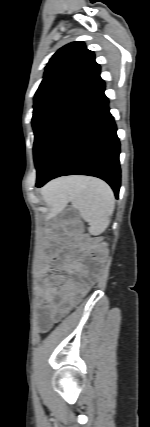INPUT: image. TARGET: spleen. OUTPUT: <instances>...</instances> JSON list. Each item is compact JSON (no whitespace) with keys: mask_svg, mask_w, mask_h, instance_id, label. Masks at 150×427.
I'll return each instance as SVG.
<instances>
[{"mask_svg":"<svg viewBox=\"0 0 150 427\" xmlns=\"http://www.w3.org/2000/svg\"><path fill=\"white\" fill-rule=\"evenodd\" d=\"M44 198L49 203L72 202L82 219L89 224V233L99 235L106 230L115 208L110 186L97 178L76 176L51 183Z\"/></svg>","mask_w":150,"mask_h":427,"instance_id":"obj_1","label":"spleen"}]
</instances>
